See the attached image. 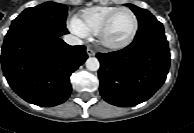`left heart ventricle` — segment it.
Listing matches in <instances>:
<instances>
[{
    "label": "left heart ventricle",
    "mask_w": 194,
    "mask_h": 133,
    "mask_svg": "<svg viewBox=\"0 0 194 133\" xmlns=\"http://www.w3.org/2000/svg\"><path fill=\"white\" fill-rule=\"evenodd\" d=\"M134 28V18L131 13L122 11L114 18L110 25L106 38L113 43L125 41L132 33Z\"/></svg>",
    "instance_id": "1"
}]
</instances>
